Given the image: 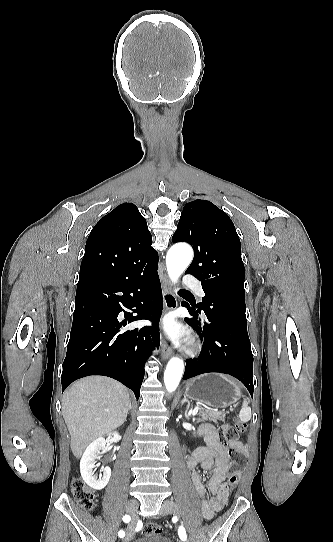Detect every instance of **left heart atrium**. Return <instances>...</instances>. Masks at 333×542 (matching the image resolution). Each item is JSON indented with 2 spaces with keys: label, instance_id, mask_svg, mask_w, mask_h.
<instances>
[{
  "label": "left heart atrium",
  "instance_id": "obj_1",
  "mask_svg": "<svg viewBox=\"0 0 333 542\" xmlns=\"http://www.w3.org/2000/svg\"><path fill=\"white\" fill-rule=\"evenodd\" d=\"M164 327L167 333L176 342H184L189 336L188 330L182 326L173 316H168L164 320Z\"/></svg>",
  "mask_w": 333,
  "mask_h": 542
}]
</instances>
